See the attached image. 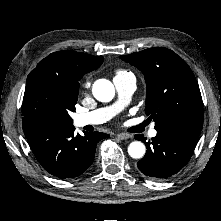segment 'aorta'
I'll return each mask as SVG.
<instances>
[{"label": "aorta", "mask_w": 221, "mask_h": 221, "mask_svg": "<svg viewBox=\"0 0 221 221\" xmlns=\"http://www.w3.org/2000/svg\"><path fill=\"white\" fill-rule=\"evenodd\" d=\"M92 93L98 101L109 102L115 96V88L109 80L98 79L93 84ZM145 152V145L140 141H134L128 146V153L134 159L142 158Z\"/></svg>", "instance_id": "1"}]
</instances>
